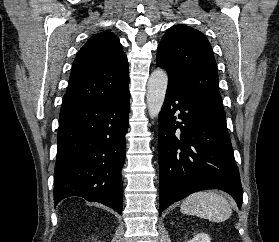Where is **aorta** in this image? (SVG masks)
Instances as JSON below:
<instances>
[{
	"instance_id": "762f6f07",
	"label": "aorta",
	"mask_w": 279,
	"mask_h": 242,
	"mask_svg": "<svg viewBox=\"0 0 279 242\" xmlns=\"http://www.w3.org/2000/svg\"><path fill=\"white\" fill-rule=\"evenodd\" d=\"M168 84V75L162 69H156L150 75L147 83L146 102L149 116L154 119L161 111L166 89Z\"/></svg>"
}]
</instances>
